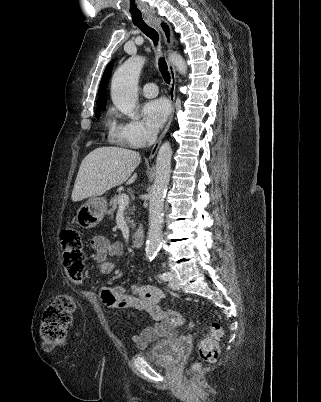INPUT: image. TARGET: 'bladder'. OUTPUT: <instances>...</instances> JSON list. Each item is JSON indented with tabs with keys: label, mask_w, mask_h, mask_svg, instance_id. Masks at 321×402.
Segmentation results:
<instances>
[{
	"label": "bladder",
	"mask_w": 321,
	"mask_h": 402,
	"mask_svg": "<svg viewBox=\"0 0 321 402\" xmlns=\"http://www.w3.org/2000/svg\"><path fill=\"white\" fill-rule=\"evenodd\" d=\"M179 336L171 333V337L158 341L150 348L141 352V356L148 360L157 361L163 366H174L179 360V352L176 345Z\"/></svg>",
	"instance_id": "31cf9c89"
}]
</instances>
